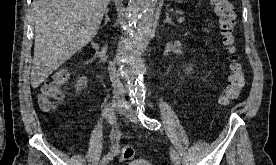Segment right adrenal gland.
<instances>
[{"label":"right adrenal gland","instance_id":"2a0ac1e0","mask_svg":"<svg viewBox=\"0 0 276 165\" xmlns=\"http://www.w3.org/2000/svg\"><path fill=\"white\" fill-rule=\"evenodd\" d=\"M108 11H109V8H106L105 9L104 25H106L110 21V18L108 16Z\"/></svg>","mask_w":276,"mask_h":165}]
</instances>
